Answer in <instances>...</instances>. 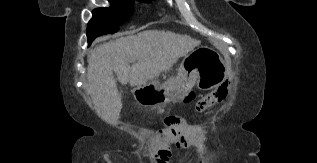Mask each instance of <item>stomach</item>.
<instances>
[{"mask_svg": "<svg viewBox=\"0 0 317 163\" xmlns=\"http://www.w3.org/2000/svg\"><path fill=\"white\" fill-rule=\"evenodd\" d=\"M190 56L196 59L183 62L175 78L139 90L135 96L137 103L144 107H156L181 102L195 85L201 90H211L227 78L228 68L215 50L200 47Z\"/></svg>", "mask_w": 317, "mask_h": 163, "instance_id": "stomach-1", "label": "stomach"}]
</instances>
